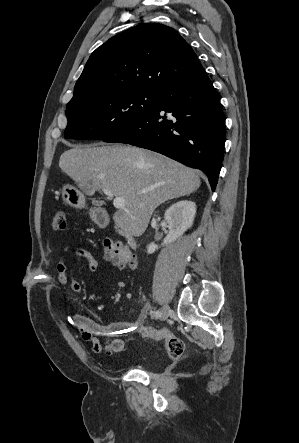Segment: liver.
<instances>
[{
    "mask_svg": "<svg viewBox=\"0 0 299 443\" xmlns=\"http://www.w3.org/2000/svg\"><path fill=\"white\" fill-rule=\"evenodd\" d=\"M60 169L88 195L101 189L125 200L113 215L126 233L140 236L154 210L167 200L195 192L197 172L161 154L123 145L74 146L59 160Z\"/></svg>",
    "mask_w": 299,
    "mask_h": 443,
    "instance_id": "6515ba94",
    "label": "liver"
}]
</instances>
